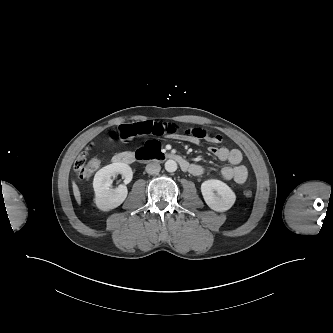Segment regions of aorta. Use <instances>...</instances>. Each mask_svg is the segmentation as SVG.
<instances>
[{"instance_id": "762f6f07", "label": "aorta", "mask_w": 333, "mask_h": 333, "mask_svg": "<svg viewBox=\"0 0 333 333\" xmlns=\"http://www.w3.org/2000/svg\"><path fill=\"white\" fill-rule=\"evenodd\" d=\"M165 169L167 172H175L177 170V163L174 160H167L165 162Z\"/></svg>"}]
</instances>
